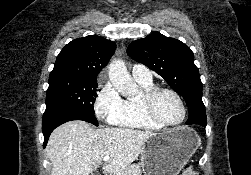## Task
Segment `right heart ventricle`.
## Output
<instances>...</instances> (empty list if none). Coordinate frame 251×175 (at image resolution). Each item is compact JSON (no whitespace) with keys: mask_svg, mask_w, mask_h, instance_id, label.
Segmentation results:
<instances>
[{"mask_svg":"<svg viewBox=\"0 0 251 175\" xmlns=\"http://www.w3.org/2000/svg\"><path fill=\"white\" fill-rule=\"evenodd\" d=\"M142 90H148L153 87L152 83L146 84L138 82ZM140 97L137 99H127L124 105V111L116 124L128 127L137 128L146 131H158V127L153 123L142 111L139 103Z\"/></svg>","mask_w":251,"mask_h":175,"instance_id":"obj_1","label":"right heart ventricle"}]
</instances>
